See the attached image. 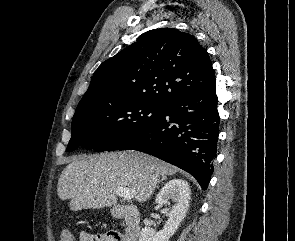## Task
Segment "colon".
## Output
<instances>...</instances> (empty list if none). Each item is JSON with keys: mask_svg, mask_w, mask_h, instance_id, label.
<instances>
[{"mask_svg": "<svg viewBox=\"0 0 295 241\" xmlns=\"http://www.w3.org/2000/svg\"><path fill=\"white\" fill-rule=\"evenodd\" d=\"M98 236H100V235H98ZM60 241H74V237H73L72 232L69 230H64L61 233Z\"/></svg>", "mask_w": 295, "mask_h": 241, "instance_id": "5ec220e1", "label": "colon"}]
</instances>
